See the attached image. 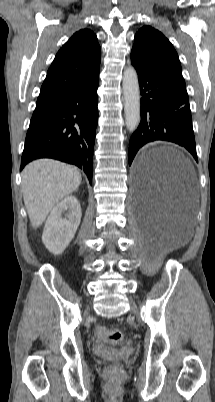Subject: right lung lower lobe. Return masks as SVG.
<instances>
[{
  "instance_id": "98d812e1",
  "label": "right lung lower lobe",
  "mask_w": 215,
  "mask_h": 402,
  "mask_svg": "<svg viewBox=\"0 0 215 402\" xmlns=\"http://www.w3.org/2000/svg\"><path fill=\"white\" fill-rule=\"evenodd\" d=\"M98 83L99 76L33 114L20 170L32 160L53 158L83 169L92 182Z\"/></svg>"
}]
</instances>
